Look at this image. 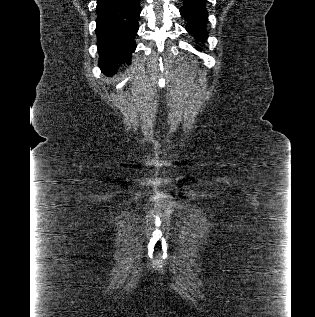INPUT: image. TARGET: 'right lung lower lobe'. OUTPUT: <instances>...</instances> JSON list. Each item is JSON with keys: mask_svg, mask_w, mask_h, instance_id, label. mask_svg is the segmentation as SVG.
Here are the masks:
<instances>
[{"mask_svg": "<svg viewBox=\"0 0 315 317\" xmlns=\"http://www.w3.org/2000/svg\"><path fill=\"white\" fill-rule=\"evenodd\" d=\"M96 11L99 67L112 75L136 49L140 0H97Z\"/></svg>", "mask_w": 315, "mask_h": 317, "instance_id": "obj_1", "label": "right lung lower lobe"}]
</instances>
